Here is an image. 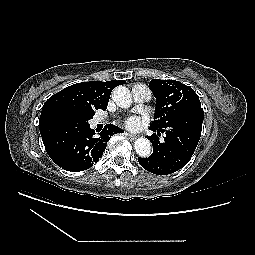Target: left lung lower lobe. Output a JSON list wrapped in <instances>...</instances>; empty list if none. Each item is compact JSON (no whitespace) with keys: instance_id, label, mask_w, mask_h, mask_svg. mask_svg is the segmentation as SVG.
I'll use <instances>...</instances> for the list:
<instances>
[{"instance_id":"0a47b994","label":"left lung lower lobe","mask_w":255,"mask_h":255,"mask_svg":"<svg viewBox=\"0 0 255 255\" xmlns=\"http://www.w3.org/2000/svg\"><path fill=\"white\" fill-rule=\"evenodd\" d=\"M203 123V112H197L192 117L178 120L167 128L150 125L155 133L147 138L153 146V153L148 158H138L140 165L147 171L167 175L183 168L192 157L199 142ZM164 141L159 140L164 133Z\"/></svg>"}]
</instances>
